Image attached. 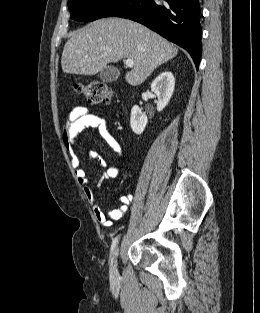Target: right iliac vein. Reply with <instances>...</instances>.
Masks as SVG:
<instances>
[{"label": "right iliac vein", "mask_w": 260, "mask_h": 313, "mask_svg": "<svg viewBox=\"0 0 260 313\" xmlns=\"http://www.w3.org/2000/svg\"><path fill=\"white\" fill-rule=\"evenodd\" d=\"M117 256H118V249L114 252V260L110 269V276L112 279H115L118 276L117 270Z\"/></svg>", "instance_id": "1"}]
</instances>
